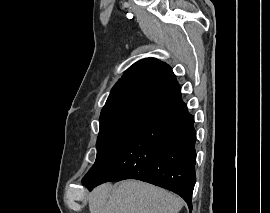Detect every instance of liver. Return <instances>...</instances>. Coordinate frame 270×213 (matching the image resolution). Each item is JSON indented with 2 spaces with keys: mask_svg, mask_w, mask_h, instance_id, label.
Listing matches in <instances>:
<instances>
[{
  "mask_svg": "<svg viewBox=\"0 0 270 213\" xmlns=\"http://www.w3.org/2000/svg\"><path fill=\"white\" fill-rule=\"evenodd\" d=\"M182 206L178 196L136 180L103 184L89 197L90 213H178Z\"/></svg>",
  "mask_w": 270,
  "mask_h": 213,
  "instance_id": "1",
  "label": "liver"
}]
</instances>
